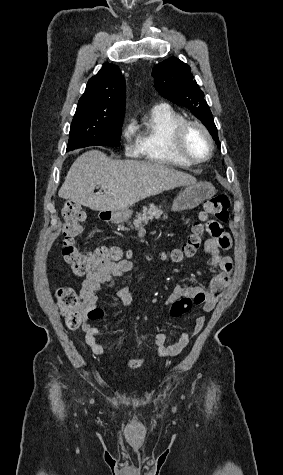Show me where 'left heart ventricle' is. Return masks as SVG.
I'll list each match as a JSON object with an SVG mask.
<instances>
[{
	"label": "left heart ventricle",
	"mask_w": 283,
	"mask_h": 475,
	"mask_svg": "<svg viewBox=\"0 0 283 475\" xmlns=\"http://www.w3.org/2000/svg\"><path fill=\"white\" fill-rule=\"evenodd\" d=\"M165 151L174 158L181 156L202 158L208 154L209 144L203 133L192 126L187 129L182 145L169 143L165 146Z\"/></svg>",
	"instance_id": "left-heart-ventricle-1"
}]
</instances>
